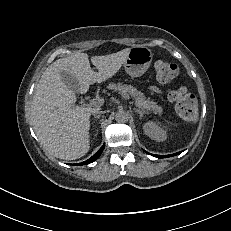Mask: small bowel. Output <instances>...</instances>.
Returning <instances> with one entry per match:
<instances>
[{
    "label": "small bowel",
    "mask_w": 231,
    "mask_h": 231,
    "mask_svg": "<svg viewBox=\"0 0 231 231\" xmlns=\"http://www.w3.org/2000/svg\"><path fill=\"white\" fill-rule=\"evenodd\" d=\"M150 90L155 93H161V90L157 86H151Z\"/></svg>",
    "instance_id": "small-bowel-1"
}]
</instances>
